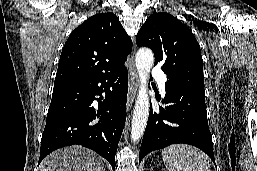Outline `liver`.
<instances>
[{
  "label": "liver",
  "instance_id": "liver-1",
  "mask_svg": "<svg viewBox=\"0 0 257 171\" xmlns=\"http://www.w3.org/2000/svg\"><path fill=\"white\" fill-rule=\"evenodd\" d=\"M102 158L82 146L58 149L40 164V171H103Z\"/></svg>",
  "mask_w": 257,
  "mask_h": 171
}]
</instances>
